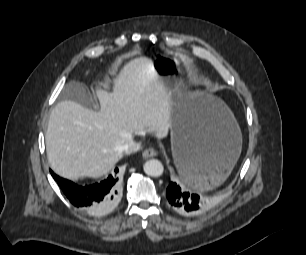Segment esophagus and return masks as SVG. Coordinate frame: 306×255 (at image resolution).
I'll return each instance as SVG.
<instances>
[{"label": "esophagus", "mask_w": 306, "mask_h": 255, "mask_svg": "<svg viewBox=\"0 0 306 255\" xmlns=\"http://www.w3.org/2000/svg\"><path fill=\"white\" fill-rule=\"evenodd\" d=\"M142 155L144 158L147 159V158L155 157L157 155V152L153 148H148L143 151Z\"/></svg>", "instance_id": "obj_1"}]
</instances>
